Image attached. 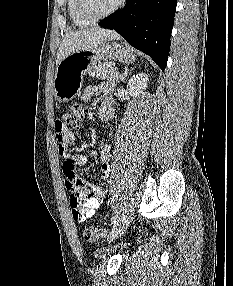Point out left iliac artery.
Segmentation results:
<instances>
[{
  "mask_svg": "<svg viewBox=\"0 0 233 286\" xmlns=\"http://www.w3.org/2000/svg\"><path fill=\"white\" fill-rule=\"evenodd\" d=\"M117 219H118V214L115 212V214L111 218L112 224H116Z\"/></svg>",
  "mask_w": 233,
  "mask_h": 286,
  "instance_id": "44dca946",
  "label": "left iliac artery"
}]
</instances>
